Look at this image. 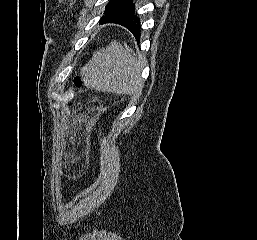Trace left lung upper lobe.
<instances>
[{"mask_svg":"<svg viewBox=\"0 0 257 240\" xmlns=\"http://www.w3.org/2000/svg\"><path fill=\"white\" fill-rule=\"evenodd\" d=\"M121 0H110L108 5L105 8V13L112 8L113 6H115L118 2H120Z\"/></svg>","mask_w":257,"mask_h":240,"instance_id":"1","label":"left lung upper lobe"}]
</instances>
